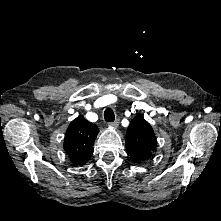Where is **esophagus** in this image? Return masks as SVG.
<instances>
[{
  "label": "esophagus",
  "mask_w": 221,
  "mask_h": 221,
  "mask_svg": "<svg viewBox=\"0 0 221 221\" xmlns=\"http://www.w3.org/2000/svg\"><path fill=\"white\" fill-rule=\"evenodd\" d=\"M118 125H119V121L118 120H116L114 122H109L108 123V126L113 127V128H117Z\"/></svg>",
  "instance_id": "34e87169"
}]
</instances>
